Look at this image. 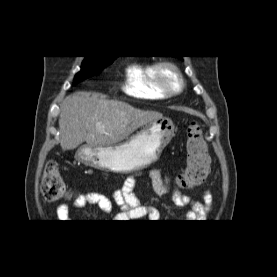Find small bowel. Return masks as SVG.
Segmentation results:
<instances>
[{
	"instance_id": "obj_1",
	"label": "small bowel",
	"mask_w": 277,
	"mask_h": 277,
	"mask_svg": "<svg viewBox=\"0 0 277 277\" xmlns=\"http://www.w3.org/2000/svg\"><path fill=\"white\" fill-rule=\"evenodd\" d=\"M152 186L156 194L163 196L170 194L173 202L178 206H187L189 209L185 218L191 222H199L207 217L211 205L212 196L209 192H204L202 200H195L184 195L179 186L170 188V178L163 175L161 170L156 168L150 173ZM136 186L135 176L128 177L122 188L113 193V202L119 207L120 212L116 215L118 220L123 222H133L143 219L159 220L160 212L151 206L140 204L134 194ZM113 202L103 194L90 192L77 196L73 201L72 208L68 204H61L56 210L59 222H69L73 217V211L84 208L87 205H94L104 213H112Z\"/></svg>"
}]
</instances>
